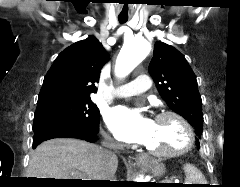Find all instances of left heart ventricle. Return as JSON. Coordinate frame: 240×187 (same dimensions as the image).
<instances>
[{
  "instance_id": "left-heart-ventricle-1",
  "label": "left heart ventricle",
  "mask_w": 240,
  "mask_h": 187,
  "mask_svg": "<svg viewBox=\"0 0 240 187\" xmlns=\"http://www.w3.org/2000/svg\"><path fill=\"white\" fill-rule=\"evenodd\" d=\"M185 142V135L178 122L166 117L155 121V129L147 147L152 150L163 151L181 147Z\"/></svg>"
}]
</instances>
